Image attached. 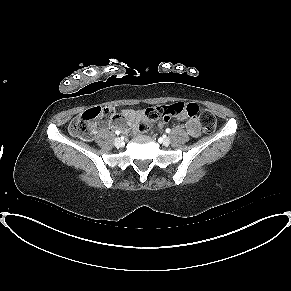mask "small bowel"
<instances>
[{
    "label": "small bowel",
    "mask_w": 291,
    "mask_h": 291,
    "mask_svg": "<svg viewBox=\"0 0 291 291\" xmlns=\"http://www.w3.org/2000/svg\"><path fill=\"white\" fill-rule=\"evenodd\" d=\"M151 109L152 108L145 110H123L118 118L109 122L108 127L130 130L138 133L140 123L148 120V113ZM180 118L186 121L185 127L190 136H199L201 132L200 123L195 116H180Z\"/></svg>",
    "instance_id": "obj_1"
}]
</instances>
